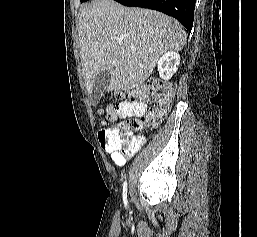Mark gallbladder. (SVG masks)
Wrapping results in <instances>:
<instances>
[{
	"label": "gallbladder",
	"instance_id": "bac80fb5",
	"mask_svg": "<svg viewBox=\"0 0 257 237\" xmlns=\"http://www.w3.org/2000/svg\"><path fill=\"white\" fill-rule=\"evenodd\" d=\"M111 80V74L108 70L101 71L93 84L92 93H91V99L93 102H96L99 98V96L103 93V91L106 89V87L109 85Z\"/></svg>",
	"mask_w": 257,
	"mask_h": 237
}]
</instances>
